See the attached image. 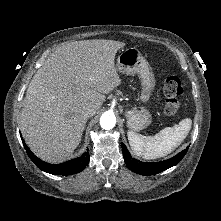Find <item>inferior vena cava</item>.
Listing matches in <instances>:
<instances>
[{
	"label": "inferior vena cava",
	"instance_id": "inferior-vena-cava-1",
	"mask_svg": "<svg viewBox=\"0 0 221 221\" xmlns=\"http://www.w3.org/2000/svg\"><path fill=\"white\" fill-rule=\"evenodd\" d=\"M97 109L94 105H86L83 107L82 113L86 118L92 117L96 113Z\"/></svg>",
	"mask_w": 221,
	"mask_h": 221
}]
</instances>
